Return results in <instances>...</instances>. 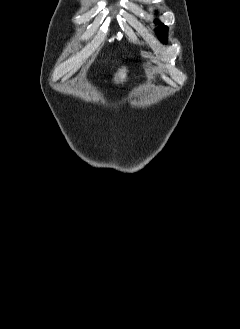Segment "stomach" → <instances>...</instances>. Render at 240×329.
Masks as SVG:
<instances>
[{
    "label": "stomach",
    "mask_w": 240,
    "mask_h": 329,
    "mask_svg": "<svg viewBox=\"0 0 240 329\" xmlns=\"http://www.w3.org/2000/svg\"><path fill=\"white\" fill-rule=\"evenodd\" d=\"M127 69L122 67L119 71L115 74L114 82L119 83L123 82L126 79Z\"/></svg>",
    "instance_id": "stomach-1"
}]
</instances>
